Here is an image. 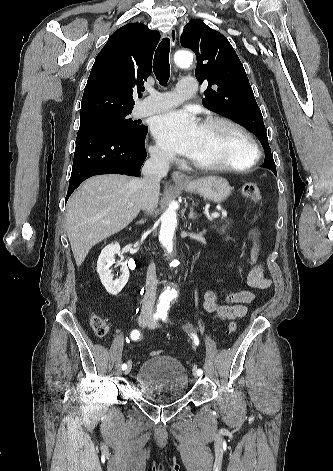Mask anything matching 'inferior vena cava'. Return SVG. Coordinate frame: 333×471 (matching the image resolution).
Listing matches in <instances>:
<instances>
[{"instance_id": "inferior-vena-cava-1", "label": "inferior vena cava", "mask_w": 333, "mask_h": 471, "mask_svg": "<svg viewBox=\"0 0 333 471\" xmlns=\"http://www.w3.org/2000/svg\"><path fill=\"white\" fill-rule=\"evenodd\" d=\"M170 154L161 150L152 151L150 158L141 169L140 206L148 213H153L159 200V182L169 170ZM156 266L151 263L147 270L146 292L142 301V313H153L157 289Z\"/></svg>"}]
</instances>
